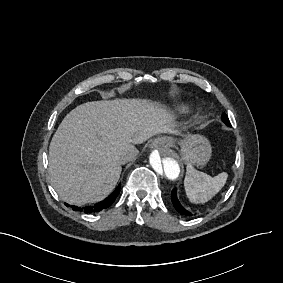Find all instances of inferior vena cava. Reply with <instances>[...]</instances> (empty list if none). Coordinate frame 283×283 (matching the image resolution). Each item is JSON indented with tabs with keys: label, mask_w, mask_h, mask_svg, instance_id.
I'll list each match as a JSON object with an SVG mask.
<instances>
[{
	"label": "inferior vena cava",
	"mask_w": 283,
	"mask_h": 283,
	"mask_svg": "<svg viewBox=\"0 0 283 283\" xmlns=\"http://www.w3.org/2000/svg\"><path fill=\"white\" fill-rule=\"evenodd\" d=\"M138 149L134 146H128L124 151L117 156L116 161L120 164H125L130 161H134L136 159V155L138 154Z\"/></svg>",
	"instance_id": "inferior-vena-cava-1"
}]
</instances>
